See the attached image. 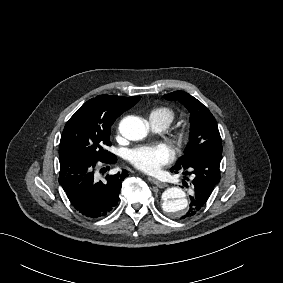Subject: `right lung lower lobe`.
<instances>
[{
    "instance_id": "obj_1",
    "label": "right lung lower lobe",
    "mask_w": 283,
    "mask_h": 283,
    "mask_svg": "<svg viewBox=\"0 0 283 283\" xmlns=\"http://www.w3.org/2000/svg\"><path fill=\"white\" fill-rule=\"evenodd\" d=\"M116 156L103 160L84 153H71L60 157L59 183L73 208L85 218L98 219L109 214L118 203L122 181L127 171L107 175L97 182L94 171L97 164H114Z\"/></svg>"
}]
</instances>
